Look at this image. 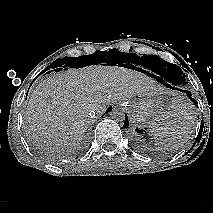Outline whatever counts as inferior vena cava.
Returning <instances> with one entry per match:
<instances>
[{
  "label": "inferior vena cava",
  "mask_w": 213,
  "mask_h": 213,
  "mask_svg": "<svg viewBox=\"0 0 213 213\" xmlns=\"http://www.w3.org/2000/svg\"><path fill=\"white\" fill-rule=\"evenodd\" d=\"M88 115H89V117H91V118H92V117H93V118H96V117H97V114H96L95 111H93V110L90 111Z\"/></svg>",
  "instance_id": "inferior-vena-cava-1"
}]
</instances>
